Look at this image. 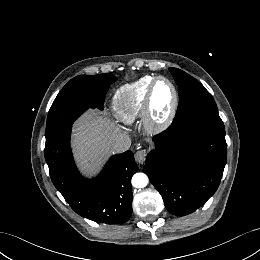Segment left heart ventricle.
I'll list each match as a JSON object with an SVG mask.
<instances>
[{
    "instance_id": "b2bd125f",
    "label": "left heart ventricle",
    "mask_w": 260,
    "mask_h": 260,
    "mask_svg": "<svg viewBox=\"0 0 260 260\" xmlns=\"http://www.w3.org/2000/svg\"><path fill=\"white\" fill-rule=\"evenodd\" d=\"M173 104V92L170 86L160 81L155 89L153 96V115L157 121H163L172 108Z\"/></svg>"
}]
</instances>
